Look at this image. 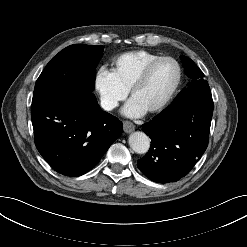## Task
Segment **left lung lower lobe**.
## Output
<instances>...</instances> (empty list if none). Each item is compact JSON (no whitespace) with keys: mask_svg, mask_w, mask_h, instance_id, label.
<instances>
[{"mask_svg":"<svg viewBox=\"0 0 247 247\" xmlns=\"http://www.w3.org/2000/svg\"><path fill=\"white\" fill-rule=\"evenodd\" d=\"M212 114L209 86L169 105L142 125V130L151 138V146L137 161L138 168L158 183L176 182L186 176L208 146Z\"/></svg>","mask_w":247,"mask_h":247,"instance_id":"left-lung-lower-lobe-1","label":"left lung lower lobe"}]
</instances>
